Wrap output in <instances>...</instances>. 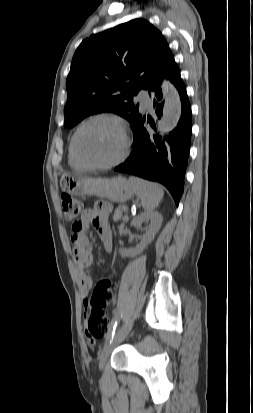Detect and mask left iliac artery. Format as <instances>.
I'll use <instances>...</instances> for the list:
<instances>
[{
    "instance_id": "left-iliac-artery-1",
    "label": "left iliac artery",
    "mask_w": 253,
    "mask_h": 413,
    "mask_svg": "<svg viewBox=\"0 0 253 413\" xmlns=\"http://www.w3.org/2000/svg\"><path fill=\"white\" fill-rule=\"evenodd\" d=\"M119 320H120V316H119V315H116V316L112 319V323H111L112 327H111V330L109 331V333H108V335H107V337H106V342H105V344H108V343H111V342H112L113 337H114V334H115V331H116V327H117V325H118Z\"/></svg>"
}]
</instances>
